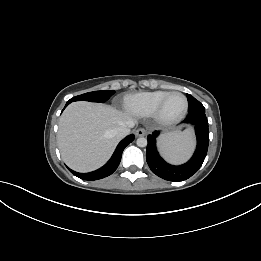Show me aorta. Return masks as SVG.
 <instances>
[{"label":"aorta","mask_w":261,"mask_h":261,"mask_svg":"<svg viewBox=\"0 0 261 261\" xmlns=\"http://www.w3.org/2000/svg\"><path fill=\"white\" fill-rule=\"evenodd\" d=\"M136 144L138 147H145L147 146V139L144 137H140L137 139Z\"/></svg>","instance_id":"obj_1"}]
</instances>
